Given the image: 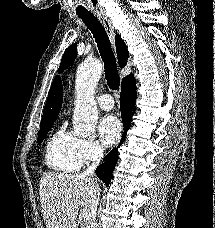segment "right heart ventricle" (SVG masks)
<instances>
[{
    "instance_id": "right-heart-ventricle-1",
    "label": "right heart ventricle",
    "mask_w": 215,
    "mask_h": 228,
    "mask_svg": "<svg viewBox=\"0 0 215 228\" xmlns=\"http://www.w3.org/2000/svg\"><path fill=\"white\" fill-rule=\"evenodd\" d=\"M80 142L81 140L69 132L64 124L57 127L45 146L47 167L57 173L78 171L82 164L79 152Z\"/></svg>"
}]
</instances>
